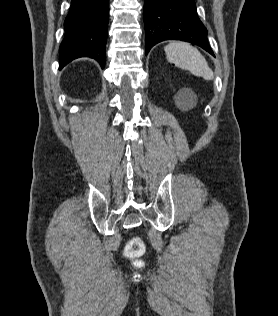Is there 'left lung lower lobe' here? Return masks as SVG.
<instances>
[{"label": "left lung lower lobe", "instance_id": "obj_1", "mask_svg": "<svg viewBox=\"0 0 278 316\" xmlns=\"http://www.w3.org/2000/svg\"><path fill=\"white\" fill-rule=\"evenodd\" d=\"M144 25L146 55L161 41L181 40L198 45L215 56L194 0H145Z\"/></svg>", "mask_w": 278, "mask_h": 316}]
</instances>
